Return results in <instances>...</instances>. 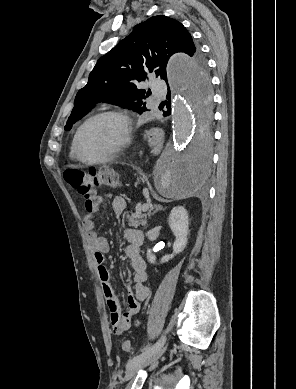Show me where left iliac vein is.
Returning a JSON list of instances; mask_svg holds the SVG:
<instances>
[{
  "label": "left iliac vein",
  "mask_w": 296,
  "mask_h": 389,
  "mask_svg": "<svg viewBox=\"0 0 296 389\" xmlns=\"http://www.w3.org/2000/svg\"><path fill=\"white\" fill-rule=\"evenodd\" d=\"M166 346L162 345L161 347L158 348V350L153 354V356L145 358L141 360L139 363L135 364L134 366L130 367L127 369L126 374H125V380L128 381L135 377V375L138 373V371L149 365L155 363L165 352Z\"/></svg>",
  "instance_id": "4c4485c4"
}]
</instances>
